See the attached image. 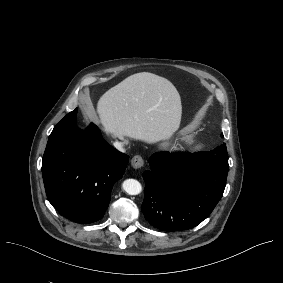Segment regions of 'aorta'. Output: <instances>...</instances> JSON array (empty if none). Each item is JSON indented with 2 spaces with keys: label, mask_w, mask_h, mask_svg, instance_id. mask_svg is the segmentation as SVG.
Wrapping results in <instances>:
<instances>
[{
  "label": "aorta",
  "mask_w": 283,
  "mask_h": 283,
  "mask_svg": "<svg viewBox=\"0 0 283 283\" xmlns=\"http://www.w3.org/2000/svg\"><path fill=\"white\" fill-rule=\"evenodd\" d=\"M123 189L129 195H137L141 192L142 186L135 179H127L123 182Z\"/></svg>",
  "instance_id": "1"
}]
</instances>
